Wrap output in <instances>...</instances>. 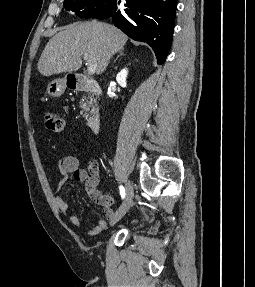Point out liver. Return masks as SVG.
I'll return each instance as SVG.
<instances>
[{
  "instance_id": "obj_1",
  "label": "liver",
  "mask_w": 255,
  "mask_h": 287,
  "mask_svg": "<svg viewBox=\"0 0 255 287\" xmlns=\"http://www.w3.org/2000/svg\"><path fill=\"white\" fill-rule=\"evenodd\" d=\"M61 30L49 40L41 54L37 68L42 76L77 72L82 66L83 54L95 58L96 74H102L110 58L123 50L128 40L121 30L103 22H77Z\"/></svg>"
}]
</instances>
